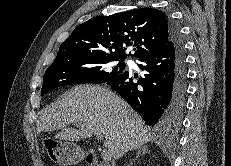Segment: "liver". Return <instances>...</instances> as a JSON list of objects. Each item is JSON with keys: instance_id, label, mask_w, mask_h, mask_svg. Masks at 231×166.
<instances>
[{"instance_id": "6515ba94", "label": "liver", "mask_w": 231, "mask_h": 166, "mask_svg": "<svg viewBox=\"0 0 231 166\" xmlns=\"http://www.w3.org/2000/svg\"><path fill=\"white\" fill-rule=\"evenodd\" d=\"M58 129L56 139L72 142L103 134L104 146L114 159L153 140L141 116L101 85L75 86L42 111L37 133Z\"/></svg>"}]
</instances>
